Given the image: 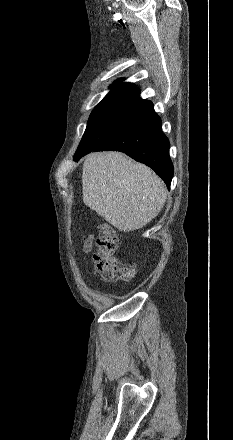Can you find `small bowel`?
I'll use <instances>...</instances> for the list:
<instances>
[{
    "instance_id": "obj_1",
    "label": "small bowel",
    "mask_w": 233,
    "mask_h": 440,
    "mask_svg": "<svg viewBox=\"0 0 233 440\" xmlns=\"http://www.w3.org/2000/svg\"><path fill=\"white\" fill-rule=\"evenodd\" d=\"M92 247H93V237H92V236H89V237L84 241V244H83V250H84L85 252H90V251L92 250Z\"/></svg>"
}]
</instances>
